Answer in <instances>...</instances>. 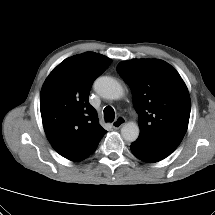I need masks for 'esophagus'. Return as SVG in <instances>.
I'll list each match as a JSON object with an SVG mask.
<instances>
[{"instance_id": "34e87169", "label": "esophagus", "mask_w": 215, "mask_h": 215, "mask_svg": "<svg viewBox=\"0 0 215 215\" xmlns=\"http://www.w3.org/2000/svg\"><path fill=\"white\" fill-rule=\"evenodd\" d=\"M126 123V119L124 117H118L113 123L112 127L114 129L121 128Z\"/></svg>"}]
</instances>
